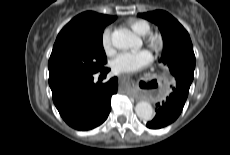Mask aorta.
Here are the masks:
<instances>
[{
	"label": "aorta",
	"instance_id": "obj_1",
	"mask_svg": "<svg viewBox=\"0 0 230 155\" xmlns=\"http://www.w3.org/2000/svg\"><path fill=\"white\" fill-rule=\"evenodd\" d=\"M112 44L118 49H130L134 46H140L141 40L131 30L120 28L115 30L111 36ZM135 112L139 119L149 121L154 116V110L147 101H139L135 106Z\"/></svg>",
	"mask_w": 230,
	"mask_h": 155
}]
</instances>
